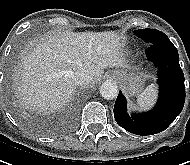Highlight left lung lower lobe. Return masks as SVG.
I'll return each instance as SVG.
<instances>
[{
	"instance_id": "left-lung-lower-lobe-1",
	"label": "left lung lower lobe",
	"mask_w": 190,
	"mask_h": 165,
	"mask_svg": "<svg viewBox=\"0 0 190 165\" xmlns=\"http://www.w3.org/2000/svg\"><path fill=\"white\" fill-rule=\"evenodd\" d=\"M146 56L158 69L157 104L149 112L130 116L127 101L120 91L114 106L116 122L126 131L143 136L165 130L180 114L185 102L184 74L177 49L169 38L150 45Z\"/></svg>"
}]
</instances>
